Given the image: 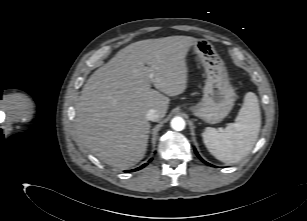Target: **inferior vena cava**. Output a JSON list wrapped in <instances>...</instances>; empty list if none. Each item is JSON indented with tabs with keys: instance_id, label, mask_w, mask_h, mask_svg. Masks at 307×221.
<instances>
[{
	"instance_id": "obj_1",
	"label": "inferior vena cava",
	"mask_w": 307,
	"mask_h": 221,
	"mask_svg": "<svg viewBox=\"0 0 307 221\" xmlns=\"http://www.w3.org/2000/svg\"><path fill=\"white\" fill-rule=\"evenodd\" d=\"M146 119L149 121H159L160 120V115L155 109H150L147 114H146Z\"/></svg>"
}]
</instances>
